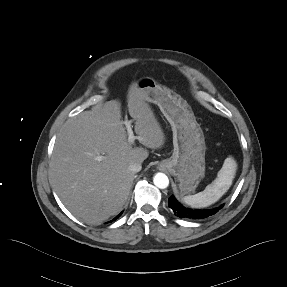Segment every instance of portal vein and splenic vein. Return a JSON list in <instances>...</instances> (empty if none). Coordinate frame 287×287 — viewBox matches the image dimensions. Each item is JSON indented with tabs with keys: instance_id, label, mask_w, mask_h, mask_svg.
I'll return each instance as SVG.
<instances>
[{
	"instance_id": "obj_1",
	"label": "portal vein and splenic vein",
	"mask_w": 287,
	"mask_h": 287,
	"mask_svg": "<svg viewBox=\"0 0 287 287\" xmlns=\"http://www.w3.org/2000/svg\"><path fill=\"white\" fill-rule=\"evenodd\" d=\"M126 128H127V132H128V142L129 143H134L135 139L137 138L136 136H134L132 127H131V122L130 121H125L124 122ZM103 156H99L98 160H102Z\"/></svg>"
}]
</instances>
